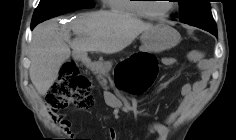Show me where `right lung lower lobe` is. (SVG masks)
Masks as SVG:
<instances>
[{
    "instance_id": "98d812e1",
    "label": "right lung lower lobe",
    "mask_w": 236,
    "mask_h": 140,
    "mask_svg": "<svg viewBox=\"0 0 236 140\" xmlns=\"http://www.w3.org/2000/svg\"><path fill=\"white\" fill-rule=\"evenodd\" d=\"M36 26V24H31V29H33Z\"/></svg>"
}]
</instances>
